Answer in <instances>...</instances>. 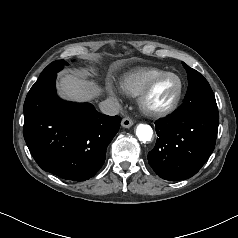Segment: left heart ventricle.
<instances>
[{"instance_id":"obj_1","label":"left heart ventricle","mask_w":238,"mask_h":238,"mask_svg":"<svg viewBox=\"0 0 238 238\" xmlns=\"http://www.w3.org/2000/svg\"><path fill=\"white\" fill-rule=\"evenodd\" d=\"M178 88L179 82L177 78L168 76L161 79L156 84L149 97V105L152 107H162L167 105L175 97Z\"/></svg>"}]
</instances>
